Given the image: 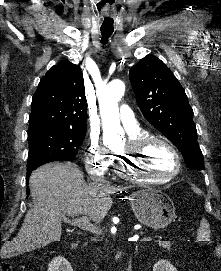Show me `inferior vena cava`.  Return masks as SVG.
I'll return each instance as SVG.
<instances>
[{
	"mask_svg": "<svg viewBox=\"0 0 221 271\" xmlns=\"http://www.w3.org/2000/svg\"><path fill=\"white\" fill-rule=\"evenodd\" d=\"M105 179H102V177H99V179H94V183H100V185H103Z\"/></svg>",
	"mask_w": 221,
	"mask_h": 271,
	"instance_id": "1",
	"label": "inferior vena cava"
}]
</instances>
